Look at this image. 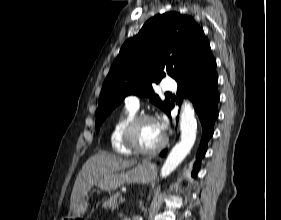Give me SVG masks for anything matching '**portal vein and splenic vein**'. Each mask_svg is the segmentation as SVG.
Returning a JSON list of instances; mask_svg holds the SVG:
<instances>
[{
    "label": "portal vein and splenic vein",
    "instance_id": "18ae733b",
    "mask_svg": "<svg viewBox=\"0 0 281 220\" xmlns=\"http://www.w3.org/2000/svg\"><path fill=\"white\" fill-rule=\"evenodd\" d=\"M126 201V199L125 198H120V203H124Z\"/></svg>",
    "mask_w": 281,
    "mask_h": 220
}]
</instances>
